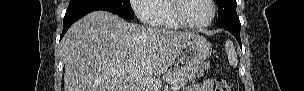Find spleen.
Wrapping results in <instances>:
<instances>
[{
  "instance_id": "spleen-1",
  "label": "spleen",
  "mask_w": 304,
  "mask_h": 91,
  "mask_svg": "<svg viewBox=\"0 0 304 91\" xmlns=\"http://www.w3.org/2000/svg\"><path fill=\"white\" fill-rule=\"evenodd\" d=\"M226 52H227L229 64L233 67H237L238 58H237V54H236L234 45L231 41H227V43H226Z\"/></svg>"
}]
</instances>
